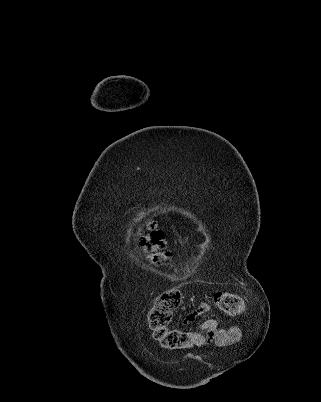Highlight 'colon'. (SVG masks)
Segmentation results:
<instances>
[{"mask_svg":"<svg viewBox=\"0 0 321 402\" xmlns=\"http://www.w3.org/2000/svg\"><path fill=\"white\" fill-rule=\"evenodd\" d=\"M144 232L145 236L142 240L144 245L150 249L164 251L166 256L169 255V252L165 251L160 230H157L153 224H149ZM180 303V292L177 289H169L156 297L147 312V323L153 337L166 349L182 350L204 343L201 334L169 328L173 314ZM214 304L220 311L232 317L241 315L245 309L242 297L231 292H217L214 295Z\"/></svg>","mask_w":321,"mask_h":402,"instance_id":"colon-1","label":"colon"}]
</instances>
